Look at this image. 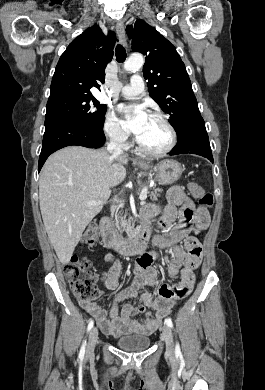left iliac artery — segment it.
Wrapping results in <instances>:
<instances>
[{
	"instance_id": "44dca946",
	"label": "left iliac artery",
	"mask_w": 265,
	"mask_h": 390,
	"mask_svg": "<svg viewBox=\"0 0 265 390\" xmlns=\"http://www.w3.org/2000/svg\"><path fill=\"white\" fill-rule=\"evenodd\" d=\"M165 324L167 325V326H169V327H173V323H172V320L170 319V318H166L165 319ZM175 353L177 354V355H181V350H180V346H179V344L177 343L176 344V347H175Z\"/></svg>"
}]
</instances>
